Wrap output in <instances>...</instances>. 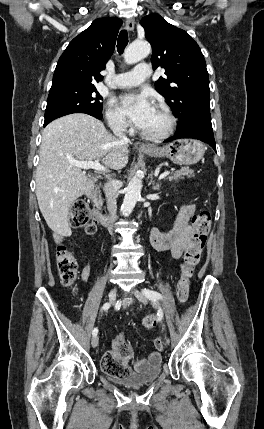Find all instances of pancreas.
<instances>
[{
	"instance_id": "cf45deb5",
	"label": "pancreas",
	"mask_w": 264,
	"mask_h": 429,
	"mask_svg": "<svg viewBox=\"0 0 264 429\" xmlns=\"http://www.w3.org/2000/svg\"><path fill=\"white\" fill-rule=\"evenodd\" d=\"M184 176L193 177L194 171L192 169H189V167H182L180 170L173 172L168 177V179H169V181H173V180L178 181L179 179H182ZM95 197L98 200V202L101 204L102 198H101V192H100L99 188H96V190H95Z\"/></svg>"
}]
</instances>
